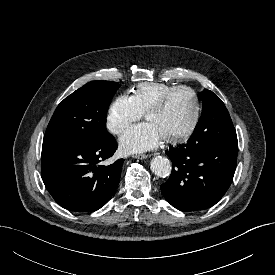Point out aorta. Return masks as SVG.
Segmentation results:
<instances>
[{"instance_id":"obj_1","label":"aorta","mask_w":275,"mask_h":275,"mask_svg":"<svg viewBox=\"0 0 275 275\" xmlns=\"http://www.w3.org/2000/svg\"><path fill=\"white\" fill-rule=\"evenodd\" d=\"M150 168L158 177H167L171 173L170 160L163 156H156L151 160Z\"/></svg>"}]
</instances>
